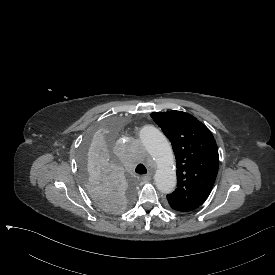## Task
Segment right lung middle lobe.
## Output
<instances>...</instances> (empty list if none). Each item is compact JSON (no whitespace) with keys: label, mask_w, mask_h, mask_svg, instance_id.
Masks as SVG:
<instances>
[{"label":"right lung middle lobe","mask_w":275,"mask_h":275,"mask_svg":"<svg viewBox=\"0 0 275 275\" xmlns=\"http://www.w3.org/2000/svg\"><path fill=\"white\" fill-rule=\"evenodd\" d=\"M122 130L116 117L99 121L86 134L78 152L80 183L95 205L107 213H119L135 198L132 181L115 157L114 138Z\"/></svg>","instance_id":"1"}]
</instances>
